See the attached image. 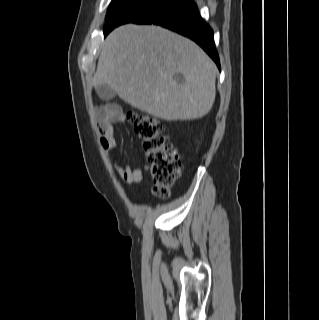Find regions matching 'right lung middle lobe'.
Returning a JSON list of instances; mask_svg holds the SVG:
<instances>
[{
  "mask_svg": "<svg viewBox=\"0 0 319 320\" xmlns=\"http://www.w3.org/2000/svg\"><path fill=\"white\" fill-rule=\"evenodd\" d=\"M178 0H112L110 3L104 32H109L116 26L134 22L140 17L160 9L169 7Z\"/></svg>",
  "mask_w": 319,
  "mask_h": 320,
  "instance_id": "1",
  "label": "right lung middle lobe"
}]
</instances>
